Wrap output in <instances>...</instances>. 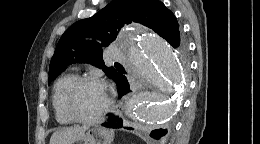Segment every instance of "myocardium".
I'll use <instances>...</instances> for the list:
<instances>
[{"mask_svg": "<svg viewBox=\"0 0 260 144\" xmlns=\"http://www.w3.org/2000/svg\"><path fill=\"white\" fill-rule=\"evenodd\" d=\"M88 83H95L103 87L106 93V104L99 114H97L94 117L85 118L79 116L75 112L73 107V102L79 89L83 85ZM111 106H112V99L110 97L106 84L101 79L94 76H85V77L78 78L69 88L64 99V110L68 115V117L74 122L83 123V124H93L99 122L106 115V113L109 111Z\"/></svg>", "mask_w": 260, "mask_h": 144, "instance_id": "1", "label": "myocardium"}]
</instances>
